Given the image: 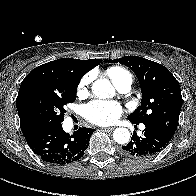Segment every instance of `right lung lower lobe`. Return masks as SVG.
Here are the masks:
<instances>
[{
  "label": "right lung lower lobe",
  "instance_id": "right-lung-lower-lobe-1",
  "mask_svg": "<svg viewBox=\"0 0 196 196\" xmlns=\"http://www.w3.org/2000/svg\"><path fill=\"white\" fill-rule=\"evenodd\" d=\"M94 129L80 127L73 135L66 133L62 124L37 130L26 139L32 151L42 160L64 165L80 159L89 145Z\"/></svg>",
  "mask_w": 196,
  "mask_h": 196
}]
</instances>
